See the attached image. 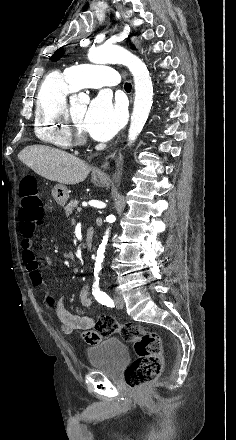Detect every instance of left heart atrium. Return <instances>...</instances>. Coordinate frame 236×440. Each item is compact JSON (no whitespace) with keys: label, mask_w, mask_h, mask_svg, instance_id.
<instances>
[{"label":"left heart atrium","mask_w":236,"mask_h":440,"mask_svg":"<svg viewBox=\"0 0 236 440\" xmlns=\"http://www.w3.org/2000/svg\"><path fill=\"white\" fill-rule=\"evenodd\" d=\"M123 122L122 108L106 94L92 100L84 116L85 131L98 141L111 139Z\"/></svg>","instance_id":"obj_1"}]
</instances>
